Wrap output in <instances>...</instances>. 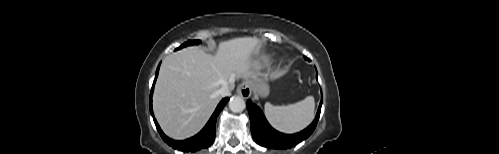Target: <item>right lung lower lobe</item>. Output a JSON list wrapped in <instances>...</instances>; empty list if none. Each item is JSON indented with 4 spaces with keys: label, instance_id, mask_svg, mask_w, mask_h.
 <instances>
[{
    "label": "right lung lower lobe",
    "instance_id": "obj_1",
    "mask_svg": "<svg viewBox=\"0 0 499 154\" xmlns=\"http://www.w3.org/2000/svg\"><path fill=\"white\" fill-rule=\"evenodd\" d=\"M159 66H160V64H159ZM159 66L156 70L155 79H154L153 86L151 89L149 106H150L151 115L154 119L155 125H156L157 130H158L159 134L161 135L162 139L171 147L178 149V150H181V151H185V152H189V151L195 152V151H199L200 149H204V148L209 147L215 139V126H216L217 116L219 115L221 110L224 108V106L228 102L229 98L222 99V101L218 104L217 108L215 109L210 120L206 124V126L197 135H195L194 137L189 138L187 140H183V141L172 140V139L168 138L163 133V131L161 130L160 126L158 125V123L154 117L153 110H152V94H153V90H154V84H155V81H156V78H157L158 72H159Z\"/></svg>",
    "mask_w": 499,
    "mask_h": 154
}]
</instances>
